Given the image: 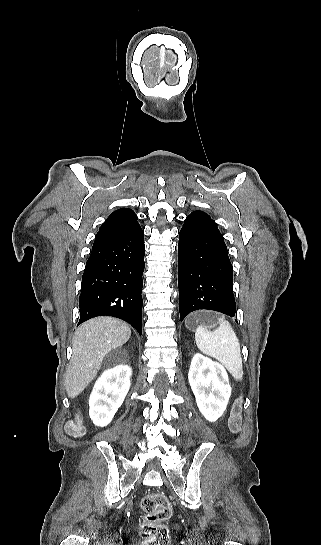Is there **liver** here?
<instances>
[{"instance_id":"1","label":"liver","mask_w":321,"mask_h":545,"mask_svg":"<svg viewBox=\"0 0 321 545\" xmlns=\"http://www.w3.org/2000/svg\"><path fill=\"white\" fill-rule=\"evenodd\" d=\"M130 327L112 317H96L77 329L72 343V359L65 375L69 399L78 397L95 379L105 355L130 339Z\"/></svg>"}]
</instances>
